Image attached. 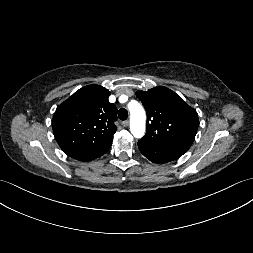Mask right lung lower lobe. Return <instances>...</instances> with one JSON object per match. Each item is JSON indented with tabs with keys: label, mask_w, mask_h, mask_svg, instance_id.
<instances>
[{
	"label": "right lung lower lobe",
	"mask_w": 253,
	"mask_h": 253,
	"mask_svg": "<svg viewBox=\"0 0 253 253\" xmlns=\"http://www.w3.org/2000/svg\"><path fill=\"white\" fill-rule=\"evenodd\" d=\"M111 144L112 143H109V144H107L105 146H102L100 148H97V149H95L93 151L84 153V154L76 157L75 159L80 160V161H91V160H94V159L102 156L103 154H105L110 149Z\"/></svg>",
	"instance_id": "obj_1"
}]
</instances>
